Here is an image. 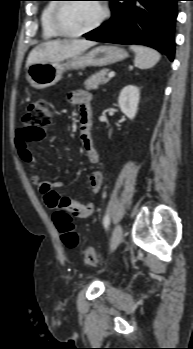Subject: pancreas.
Wrapping results in <instances>:
<instances>
[{
	"instance_id": "1",
	"label": "pancreas",
	"mask_w": 193,
	"mask_h": 349,
	"mask_svg": "<svg viewBox=\"0 0 193 349\" xmlns=\"http://www.w3.org/2000/svg\"><path fill=\"white\" fill-rule=\"evenodd\" d=\"M108 71L109 69H103L91 75L84 83L85 88L87 90L97 89L99 85L107 83L109 80L106 78Z\"/></svg>"
}]
</instances>
